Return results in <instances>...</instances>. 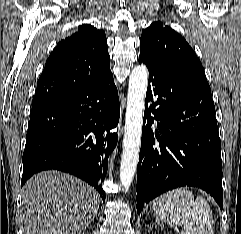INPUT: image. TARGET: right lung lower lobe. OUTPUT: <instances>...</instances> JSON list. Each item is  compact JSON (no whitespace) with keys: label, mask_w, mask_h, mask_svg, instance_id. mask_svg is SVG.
Returning a JSON list of instances; mask_svg holds the SVG:
<instances>
[{"label":"right lung lower lobe","mask_w":241,"mask_h":234,"mask_svg":"<svg viewBox=\"0 0 241 234\" xmlns=\"http://www.w3.org/2000/svg\"><path fill=\"white\" fill-rule=\"evenodd\" d=\"M119 117L112 73L83 88L33 99L21 187L35 173L56 169L85 180L104 200L102 183L117 144L110 130Z\"/></svg>","instance_id":"obj_1"}]
</instances>
